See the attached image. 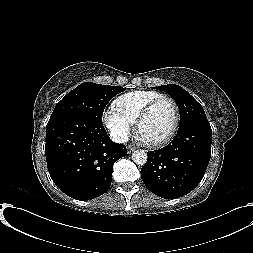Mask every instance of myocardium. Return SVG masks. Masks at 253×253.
<instances>
[{"label":"myocardium","mask_w":253,"mask_h":253,"mask_svg":"<svg viewBox=\"0 0 253 253\" xmlns=\"http://www.w3.org/2000/svg\"><path fill=\"white\" fill-rule=\"evenodd\" d=\"M165 101L169 102L173 106V109L175 112V120H174V124H173L172 129L163 139H161L159 141L149 142L146 140H142L140 138V128H141L143 122L148 118V116L152 113V111L155 109V107L157 105H159L160 103L165 102ZM180 120H181L180 109H179V106L176 103V101L171 97L162 96V97H159V98L151 101L141 111L140 115L138 116V118L136 120V134L146 145H148L150 147H154V148H160V147H163V146L167 145L168 143H170L172 141V139L175 137V135L179 129Z\"/></svg>","instance_id":"1"}]
</instances>
